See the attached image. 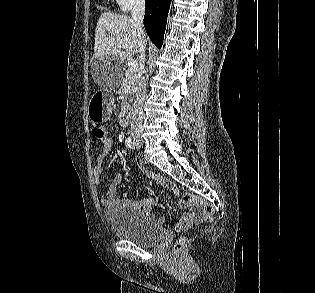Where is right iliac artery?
I'll use <instances>...</instances> for the list:
<instances>
[{
  "mask_svg": "<svg viewBox=\"0 0 315 293\" xmlns=\"http://www.w3.org/2000/svg\"><path fill=\"white\" fill-rule=\"evenodd\" d=\"M125 143H126V146H127L128 148L134 149V147H135V140H134V139H132L131 137H128V138L126 139Z\"/></svg>",
  "mask_w": 315,
  "mask_h": 293,
  "instance_id": "right-iliac-artery-1",
  "label": "right iliac artery"
}]
</instances>
